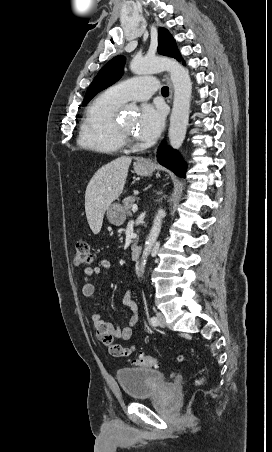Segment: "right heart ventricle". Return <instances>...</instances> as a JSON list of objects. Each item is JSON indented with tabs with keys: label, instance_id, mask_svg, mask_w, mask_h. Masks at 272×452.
<instances>
[{
	"label": "right heart ventricle",
	"instance_id": "obj_1",
	"mask_svg": "<svg viewBox=\"0 0 272 452\" xmlns=\"http://www.w3.org/2000/svg\"><path fill=\"white\" fill-rule=\"evenodd\" d=\"M122 105L108 90L99 94L88 106L82 120L78 146L92 152L111 154L123 144L114 134L115 114Z\"/></svg>",
	"mask_w": 272,
	"mask_h": 452
}]
</instances>
